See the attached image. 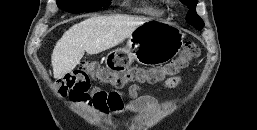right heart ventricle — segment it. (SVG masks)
<instances>
[{
  "mask_svg": "<svg viewBox=\"0 0 257 130\" xmlns=\"http://www.w3.org/2000/svg\"><path fill=\"white\" fill-rule=\"evenodd\" d=\"M144 12L150 15L160 14L162 11V4L158 0H150L145 3Z\"/></svg>",
  "mask_w": 257,
  "mask_h": 130,
  "instance_id": "obj_1",
  "label": "right heart ventricle"
}]
</instances>
